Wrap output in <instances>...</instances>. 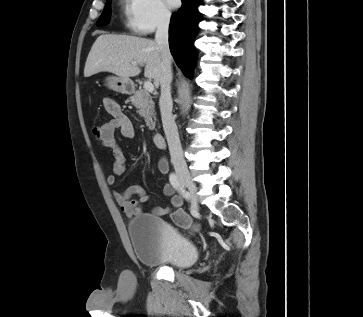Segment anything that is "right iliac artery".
<instances>
[{
  "instance_id": "82829eb1",
  "label": "right iliac artery",
  "mask_w": 363,
  "mask_h": 317,
  "mask_svg": "<svg viewBox=\"0 0 363 317\" xmlns=\"http://www.w3.org/2000/svg\"><path fill=\"white\" fill-rule=\"evenodd\" d=\"M170 183L172 184V186L183 196V197H187V192L185 191V188L183 187V185L180 184L177 176L174 173L170 174L169 177Z\"/></svg>"
}]
</instances>
